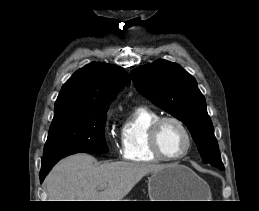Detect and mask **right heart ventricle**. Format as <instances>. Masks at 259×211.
I'll list each match as a JSON object with an SVG mask.
<instances>
[{
  "label": "right heart ventricle",
  "instance_id": "e07e8e85",
  "mask_svg": "<svg viewBox=\"0 0 259 211\" xmlns=\"http://www.w3.org/2000/svg\"><path fill=\"white\" fill-rule=\"evenodd\" d=\"M160 115L146 106L136 107L120 129L122 156L132 162H154L159 158L149 144V130Z\"/></svg>",
  "mask_w": 259,
  "mask_h": 211
}]
</instances>
